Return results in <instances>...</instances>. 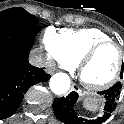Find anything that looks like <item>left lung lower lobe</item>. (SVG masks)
Returning a JSON list of instances; mask_svg holds the SVG:
<instances>
[{
    "mask_svg": "<svg viewBox=\"0 0 124 124\" xmlns=\"http://www.w3.org/2000/svg\"><path fill=\"white\" fill-rule=\"evenodd\" d=\"M120 82H117L111 88L98 92L102 95L106 102L104 105V112L101 117L94 120H88L77 115L75 105L78 100V94L73 91L66 97L56 98L53 102V109L56 117L65 124H101L106 121L112 112L116 109L119 96L121 93Z\"/></svg>",
    "mask_w": 124,
    "mask_h": 124,
    "instance_id": "0a47b994",
    "label": "left lung lower lobe"
}]
</instances>
